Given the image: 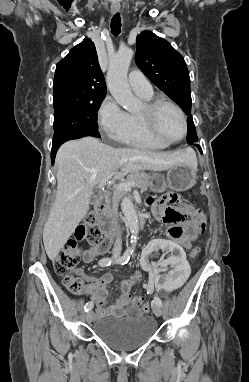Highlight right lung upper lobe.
<instances>
[{
	"label": "right lung upper lobe",
	"mask_w": 249,
	"mask_h": 382,
	"mask_svg": "<svg viewBox=\"0 0 249 382\" xmlns=\"http://www.w3.org/2000/svg\"><path fill=\"white\" fill-rule=\"evenodd\" d=\"M53 105L105 97L106 84L94 43L85 38L56 66Z\"/></svg>",
	"instance_id": "obj_1"
}]
</instances>
